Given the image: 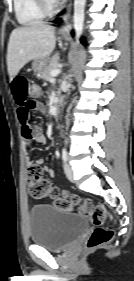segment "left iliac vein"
<instances>
[{"instance_id": "1", "label": "left iliac vein", "mask_w": 134, "mask_h": 281, "mask_svg": "<svg viewBox=\"0 0 134 281\" xmlns=\"http://www.w3.org/2000/svg\"><path fill=\"white\" fill-rule=\"evenodd\" d=\"M64 171H65V174H66L67 178H68L71 182H74V172H73L72 167H71L68 163H65V165H64Z\"/></svg>"}]
</instances>
